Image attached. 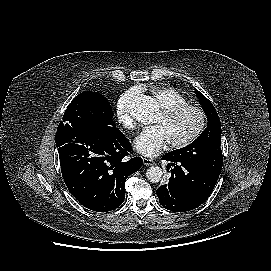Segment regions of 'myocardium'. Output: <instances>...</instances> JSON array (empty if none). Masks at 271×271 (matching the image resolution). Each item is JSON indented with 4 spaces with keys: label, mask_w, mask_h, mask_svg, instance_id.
<instances>
[{
    "label": "myocardium",
    "mask_w": 271,
    "mask_h": 271,
    "mask_svg": "<svg viewBox=\"0 0 271 271\" xmlns=\"http://www.w3.org/2000/svg\"><path fill=\"white\" fill-rule=\"evenodd\" d=\"M188 111L194 112L197 115L198 125L195 130L185 138L178 141H171L170 143L174 148H184L199 138V136L203 133L206 127V114L201 107L192 104L171 106L168 108H163L160 112L163 118L171 119Z\"/></svg>",
    "instance_id": "obj_1"
}]
</instances>
